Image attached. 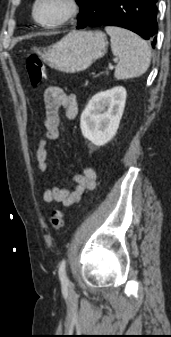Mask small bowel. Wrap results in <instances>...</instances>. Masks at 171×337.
Returning a JSON list of instances; mask_svg holds the SVG:
<instances>
[{
	"mask_svg": "<svg viewBox=\"0 0 171 337\" xmlns=\"http://www.w3.org/2000/svg\"><path fill=\"white\" fill-rule=\"evenodd\" d=\"M45 137L41 136L38 141L36 159L38 170L44 173L47 170V144L57 140L61 135L62 112L68 119L76 118L78 114V102L74 94H69L58 86H49L44 91ZM72 188H64L51 184L42 195L43 204L52 202L61 203L63 206H71L80 201L85 190H91L96 184V171L92 167H86L82 173L73 176Z\"/></svg>",
	"mask_w": 171,
	"mask_h": 337,
	"instance_id": "c3829d8e",
	"label": "small bowel"
}]
</instances>
